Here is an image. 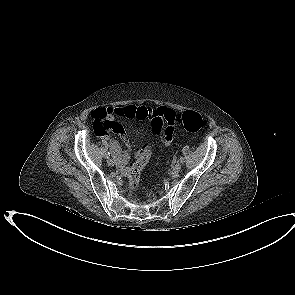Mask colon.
<instances>
[{
  "label": "colon",
  "instance_id": "1",
  "mask_svg": "<svg viewBox=\"0 0 295 295\" xmlns=\"http://www.w3.org/2000/svg\"><path fill=\"white\" fill-rule=\"evenodd\" d=\"M206 126L205 119L195 111H185L181 115L167 113L166 128L169 131L175 129L186 130L189 132H201ZM156 148L154 141L144 144L141 149L136 151V161L128 171V186L131 190H136L139 186L141 173L146 167L151 152Z\"/></svg>",
  "mask_w": 295,
  "mask_h": 295
}]
</instances>
